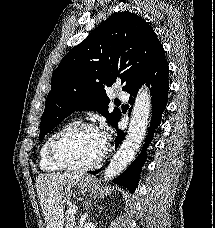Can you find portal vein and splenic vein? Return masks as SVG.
Returning <instances> with one entry per match:
<instances>
[{"label": "portal vein and splenic vein", "instance_id": "18ae733b", "mask_svg": "<svg viewBox=\"0 0 215 228\" xmlns=\"http://www.w3.org/2000/svg\"><path fill=\"white\" fill-rule=\"evenodd\" d=\"M70 210H71V212H73V214H75V212H76V206H71Z\"/></svg>", "mask_w": 215, "mask_h": 228}]
</instances>
